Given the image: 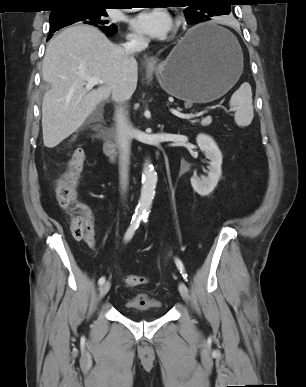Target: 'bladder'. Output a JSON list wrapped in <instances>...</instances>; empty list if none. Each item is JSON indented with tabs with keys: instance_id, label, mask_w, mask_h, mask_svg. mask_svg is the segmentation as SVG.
Masks as SVG:
<instances>
[{
	"instance_id": "obj_1",
	"label": "bladder",
	"mask_w": 306,
	"mask_h": 387,
	"mask_svg": "<svg viewBox=\"0 0 306 387\" xmlns=\"http://www.w3.org/2000/svg\"><path fill=\"white\" fill-rule=\"evenodd\" d=\"M124 310L130 317L137 314L151 313L153 316L160 317L164 314L163 304L149 296L147 293H137L124 304Z\"/></svg>"
}]
</instances>
